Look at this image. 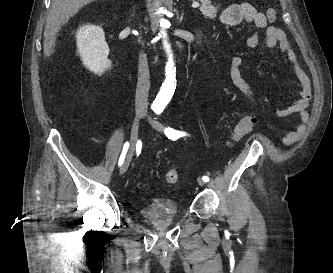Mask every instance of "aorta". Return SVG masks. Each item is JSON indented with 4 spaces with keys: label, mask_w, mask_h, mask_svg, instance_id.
<instances>
[{
    "label": "aorta",
    "mask_w": 333,
    "mask_h": 273,
    "mask_svg": "<svg viewBox=\"0 0 333 273\" xmlns=\"http://www.w3.org/2000/svg\"><path fill=\"white\" fill-rule=\"evenodd\" d=\"M163 12V9H159V13ZM167 21L165 19L160 20V26L161 31L159 33V37L163 39V46L166 50V53L168 55V62L166 64L165 70H166V79L164 83L162 84V87L160 89V92L157 95L156 103L158 105H165L167 102L170 101L173 92H174V82H175V68L171 53L170 45L167 41V33L165 31Z\"/></svg>",
    "instance_id": "obj_1"
}]
</instances>
